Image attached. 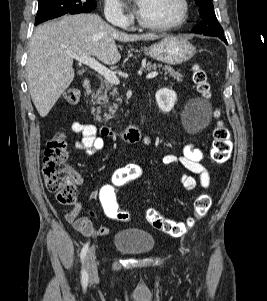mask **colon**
Returning <instances> with one entry per match:
<instances>
[{"label": "colon", "instance_id": "colon-1", "mask_svg": "<svg viewBox=\"0 0 267 301\" xmlns=\"http://www.w3.org/2000/svg\"><path fill=\"white\" fill-rule=\"evenodd\" d=\"M192 79L197 91L204 97L209 96L210 86L205 71L198 65L192 68ZM63 99L68 105H75L80 99L77 88H68ZM217 115V114H216ZM232 152L231 134L228 128L218 122L213 132V142L210 149V158L215 164L226 162ZM69 159L66 136L56 133L45 146L42 173L47 189L54 193L57 200L64 205H71L76 200L77 190L74 178L65 167ZM144 169L137 164H128L120 167L113 175L110 183L103 185L97 194L96 201L103 214L110 220L125 221L129 215L121 208L120 194L129 184L140 179ZM212 205L211 197L200 194L195 199L193 216L186 222H178L162 216L155 209L146 212V220L155 229L169 235L179 237L185 234L193 224L207 215Z\"/></svg>", "mask_w": 267, "mask_h": 301}]
</instances>
